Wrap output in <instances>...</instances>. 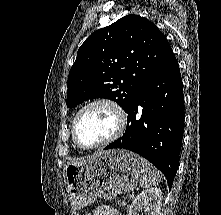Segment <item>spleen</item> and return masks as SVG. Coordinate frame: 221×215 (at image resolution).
Instances as JSON below:
<instances>
[{
  "mask_svg": "<svg viewBox=\"0 0 221 215\" xmlns=\"http://www.w3.org/2000/svg\"><path fill=\"white\" fill-rule=\"evenodd\" d=\"M143 175L140 179V186L149 188L152 185H158L161 178L157 169L147 160L141 158Z\"/></svg>",
  "mask_w": 221,
  "mask_h": 215,
  "instance_id": "spleen-1",
  "label": "spleen"
}]
</instances>
